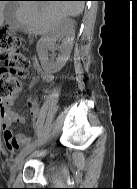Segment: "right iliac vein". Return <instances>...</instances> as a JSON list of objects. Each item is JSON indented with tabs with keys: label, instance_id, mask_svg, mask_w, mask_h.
<instances>
[{
	"label": "right iliac vein",
	"instance_id": "right-iliac-vein-1",
	"mask_svg": "<svg viewBox=\"0 0 137 189\" xmlns=\"http://www.w3.org/2000/svg\"><path fill=\"white\" fill-rule=\"evenodd\" d=\"M39 144L33 143L29 145L28 147L24 148L20 153L15 157L14 162L11 166V180L15 178V175L17 171L19 170L21 163L23 159L31 152L33 151Z\"/></svg>",
	"mask_w": 137,
	"mask_h": 189
}]
</instances>
